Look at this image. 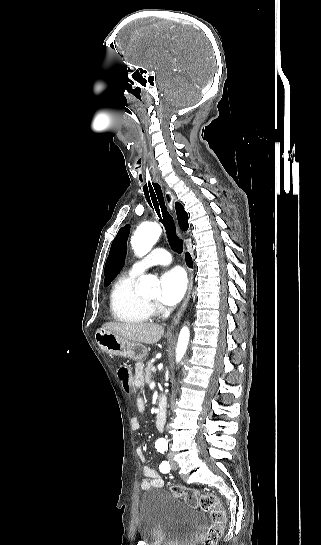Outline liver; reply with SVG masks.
I'll return each mask as SVG.
<instances>
[{"mask_svg": "<svg viewBox=\"0 0 321 545\" xmlns=\"http://www.w3.org/2000/svg\"><path fill=\"white\" fill-rule=\"evenodd\" d=\"M102 329L106 333H114L127 341H137L146 345L158 343L164 335L162 325H156V323H105Z\"/></svg>", "mask_w": 321, "mask_h": 545, "instance_id": "6515ba94", "label": "liver"}]
</instances>
